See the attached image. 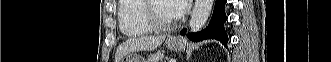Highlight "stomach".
<instances>
[{
    "instance_id": "obj_1",
    "label": "stomach",
    "mask_w": 331,
    "mask_h": 62,
    "mask_svg": "<svg viewBox=\"0 0 331 62\" xmlns=\"http://www.w3.org/2000/svg\"><path fill=\"white\" fill-rule=\"evenodd\" d=\"M168 49L173 51H180L183 48V43L178 38L167 39L165 42ZM120 62H145L143 58L137 55H128L124 57Z\"/></svg>"
}]
</instances>
